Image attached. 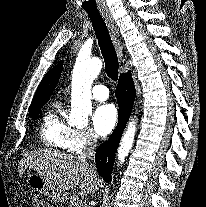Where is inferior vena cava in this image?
Returning a JSON list of instances; mask_svg holds the SVG:
<instances>
[{"mask_svg": "<svg viewBox=\"0 0 206 207\" xmlns=\"http://www.w3.org/2000/svg\"><path fill=\"white\" fill-rule=\"evenodd\" d=\"M96 143H97V136L94 134V133H91L86 142H85V146H84V150L83 152L81 153L80 155V158L83 160V161H87L88 159L89 160H94L95 158V146H96ZM90 170L92 172H95V164L92 163L90 165Z\"/></svg>", "mask_w": 206, "mask_h": 207, "instance_id": "1", "label": "inferior vena cava"}]
</instances>
